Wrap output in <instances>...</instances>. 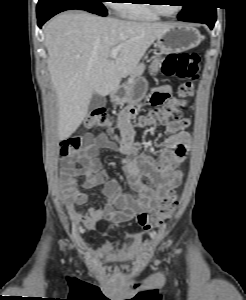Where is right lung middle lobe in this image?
Masks as SVG:
<instances>
[{
    "mask_svg": "<svg viewBox=\"0 0 246 300\" xmlns=\"http://www.w3.org/2000/svg\"><path fill=\"white\" fill-rule=\"evenodd\" d=\"M103 0H39L37 4V12L45 10L47 7L60 4L70 3L81 6L84 10L100 16L107 15V9L102 4Z\"/></svg>",
    "mask_w": 246,
    "mask_h": 300,
    "instance_id": "obj_1",
    "label": "right lung middle lobe"
}]
</instances>
